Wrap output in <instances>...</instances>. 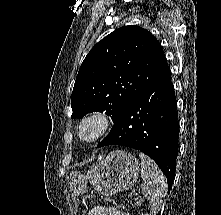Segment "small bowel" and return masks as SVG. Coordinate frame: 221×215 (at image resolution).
<instances>
[{
    "label": "small bowel",
    "mask_w": 221,
    "mask_h": 215,
    "mask_svg": "<svg viewBox=\"0 0 221 215\" xmlns=\"http://www.w3.org/2000/svg\"><path fill=\"white\" fill-rule=\"evenodd\" d=\"M86 215H130L115 207H97L87 212Z\"/></svg>",
    "instance_id": "1"
}]
</instances>
